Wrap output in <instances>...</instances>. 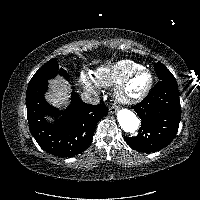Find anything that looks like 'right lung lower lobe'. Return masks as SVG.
<instances>
[{"mask_svg":"<svg viewBox=\"0 0 200 200\" xmlns=\"http://www.w3.org/2000/svg\"><path fill=\"white\" fill-rule=\"evenodd\" d=\"M47 81L29 85L26 92L29 129L37 143L46 152L61 157L82 153L90 145L98 121L108 114L104 104L90 105L72 93V102L63 113L44 99ZM61 116L54 124L44 116Z\"/></svg>","mask_w":200,"mask_h":200,"instance_id":"1","label":"right lung lower lobe"}]
</instances>
